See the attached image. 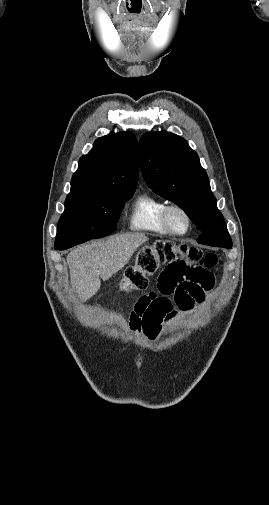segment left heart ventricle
<instances>
[{"instance_id": "1", "label": "left heart ventricle", "mask_w": 269, "mask_h": 505, "mask_svg": "<svg viewBox=\"0 0 269 505\" xmlns=\"http://www.w3.org/2000/svg\"><path fill=\"white\" fill-rule=\"evenodd\" d=\"M169 219H170V223H171L172 227L175 230H177L179 232H183L187 229V220L181 212L176 211V210L172 211L170 213Z\"/></svg>"}]
</instances>
